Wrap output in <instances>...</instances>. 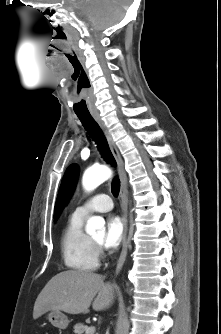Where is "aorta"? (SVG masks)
Instances as JSON below:
<instances>
[{"label": "aorta", "instance_id": "obj_1", "mask_svg": "<svg viewBox=\"0 0 221 334\" xmlns=\"http://www.w3.org/2000/svg\"><path fill=\"white\" fill-rule=\"evenodd\" d=\"M112 175L111 170L106 166H97L88 168L82 178V185L86 191L96 189ZM86 232L95 234L96 232L105 233V221L102 217L92 216L87 221Z\"/></svg>", "mask_w": 221, "mask_h": 334}]
</instances>
